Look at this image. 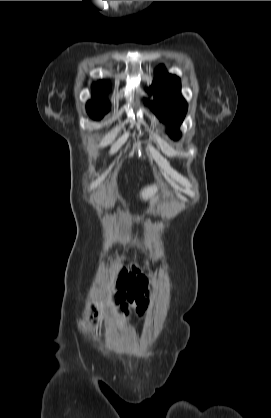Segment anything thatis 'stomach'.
I'll return each instance as SVG.
<instances>
[{"label":"stomach","instance_id":"0dacf381","mask_svg":"<svg viewBox=\"0 0 271 418\" xmlns=\"http://www.w3.org/2000/svg\"><path fill=\"white\" fill-rule=\"evenodd\" d=\"M155 201H156V198H153V199L151 200V203H155Z\"/></svg>","mask_w":271,"mask_h":418}]
</instances>
